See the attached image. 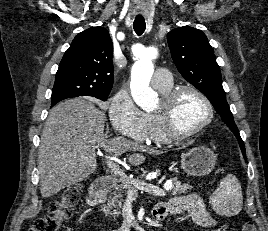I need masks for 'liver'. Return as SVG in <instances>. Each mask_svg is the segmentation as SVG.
<instances>
[{"mask_svg":"<svg viewBox=\"0 0 268 231\" xmlns=\"http://www.w3.org/2000/svg\"><path fill=\"white\" fill-rule=\"evenodd\" d=\"M105 113L87 99L75 98L54 106L46 119L38 152L43 198L83 181L97 168L95 149L110 154L132 151L128 161L139 165L148 148L126 138L106 139Z\"/></svg>","mask_w":268,"mask_h":231,"instance_id":"1","label":"liver"}]
</instances>
